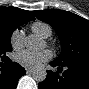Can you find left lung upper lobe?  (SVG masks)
Segmentation results:
<instances>
[{
  "mask_svg": "<svg viewBox=\"0 0 89 89\" xmlns=\"http://www.w3.org/2000/svg\"><path fill=\"white\" fill-rule=\"evenodd\" d=\"M34 15L50 24L61 42L62 51L55 60L61 65L89 62V21L64 10L33 11Z\"/></svg>",
  "mask_w": 89,
  "mask_h": 89,
  "instance_id": "left-lung-upper-lobe-1",
  "label": "left lung upper lobe"
}]
</instances>
